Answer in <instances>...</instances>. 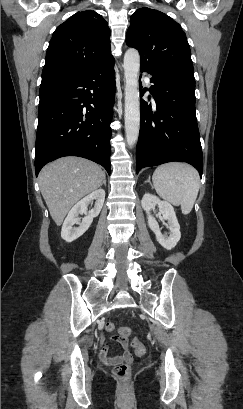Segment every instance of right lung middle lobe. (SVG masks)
<instances>
[{"instance_id":"obj_1","label":"right lung middle lobe","mask_w":243,"mask_h":409,"mask_svg":"<svg viewBox=\"0 0 243 409\" xmlns=\"http://www.w3.org/2000/svg\"><path fill=\"white\" fill-rule=\"evenodd\" d=\"M53 81H56V80H45V81L41 82V85H44V84H47V83H50V82H53Z\"/></svg>"}]
</instances>
